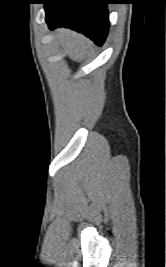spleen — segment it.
Here are the masks:
<instances>
[{"label": "spleen", "instance_id": "1", "mask_svg": "<svg viewBox=\"0 0 166 267\" xmlns=\"http://www.w3.org/2000/svg\"><path fill=\"white\" fill-rule=\"evenodd\" d=\"M57 37L74 60L80 62L89 54L91 43L84 36L64 30Z\"/></svg>", "mask_w": 166, "mask_h": 267}]
</instances>
